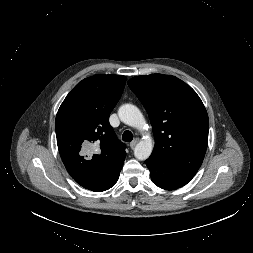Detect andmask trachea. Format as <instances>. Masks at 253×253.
I'll list each match as a JSON object with an SVG mask.
<instances>
[{
	"label": "trachea",
	"mask_w": 253,
	"mask_h": 253,
	"mask_svg": "<svg viewBox=\"0 0 253 253\" xmlns=\"http://www.w3.org/2000/svg\"><path fill=\"white\" fill-rule=\"evenodd\" d=\"M132 139H133V134L131 133V131L126 130L122 135V140L125 142H131Z\"/></svg>",
	"instance_id": "trachea-1"
}]
</instances>
